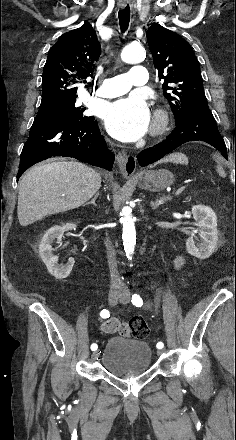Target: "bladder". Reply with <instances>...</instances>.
Segmentation results:
<instances>
[{"instance_id": "bladder-1", "label": "bladder", "mask_w": 236, "mask_h": 440, "mask_svg": "<svg viewBox=\"0 0 236 440\" xmlns=\"http://www.w3.org/2000/svg\"><path fill=\"white\" fill-rule=\"evenodd\" d=\"M101 362L107 371L118 376L141 374L151 368L152 350L144 341L114 336L106 343Z\"/></svg>"}]
</instances>
